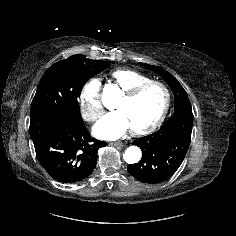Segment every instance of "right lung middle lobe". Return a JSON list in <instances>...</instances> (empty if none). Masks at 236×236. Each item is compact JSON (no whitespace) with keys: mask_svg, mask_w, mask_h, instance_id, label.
Wrapping results in <instances>:
<instances>
[{"mask_svg":"<svg viewBox=\"0 0 236 236\" xmlns=\"http://www.w3.org/2000/svg\"><path fill=\"white\" fill-rule=\"evenodd\" d=\"M109 64L108 61L85 64L62 60L50 66L32 100L30 118L55 116L83 121L78 102L83 85Z\"/></svg>","mask_w":236,"mask_h":236,"instance_id":"right-lung-middle-lobe-1","label":"right lung middle lobe"}]
</instances>
